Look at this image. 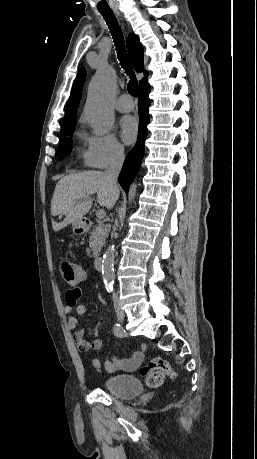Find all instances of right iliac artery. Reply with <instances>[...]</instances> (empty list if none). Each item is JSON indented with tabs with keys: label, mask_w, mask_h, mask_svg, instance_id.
I'll list each match as a JSON object with an SVG mask.
<instances>
[{
	"label": "right iliac artery",
	"mask_w": 257,
	"mask_h": 459,
	"mask_svg": "<svg viewBox=\"0 0 257 459\" xmlns=\"http://www.w3.org/2000/svg\"><path fill=\"white\" fill-rule=\"evenodd\" d=\"M113 332H114V335L119 337V338H123L125 337V330L123 329V327L116 323L113 327Z\"/></svg>",
	"instance_id": "82829eb1"
}]
</instances>
